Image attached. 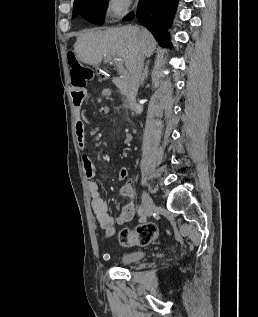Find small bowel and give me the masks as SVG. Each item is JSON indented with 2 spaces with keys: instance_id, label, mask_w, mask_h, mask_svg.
I'll list each match as a JSON object with an SVG mask.
<instances>
[{
  "instance_id": "1",
  "label": "small bowel",
  "mask_w": 258,
  "mask_h": 317,
  "mask_svg": "<svg viewBox=\"0 0 258 317\" xmlns=\"http://www.w3.org/2000/svg\"><path fill=\"white\" fill-rule=\"evenodd\" d=\"M86 126L87 119L83 112L79 111L75 119V133L79 147L84 150L86 147ZM82 165L86 177L88 178V189L91 196V207L95 215L96 221L99 226L105 231L108 237H112L116 234V225H123L135 215V206L133 201L126 203L120 215L114 220L109 214V206L103 199L99 184L94 180L95 167L89 156L84 155L82 159ZM128 176V170L126 167H121L118 171V179L124 180ZM120 194L127 198H132L133 190L129 182L122 184L120 188Z\"/></svg>"
}]
</instances>
